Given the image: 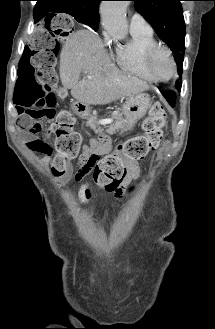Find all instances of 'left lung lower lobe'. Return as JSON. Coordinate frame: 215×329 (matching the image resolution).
<instances>
[{"mask_svg":"<svg viewBox=\"0 0 215 329\" xmlns=\"http://www.w3.org/2000/svg\"><path fill=\"white\" fill-rule=\"evenodd\" d=\"M163 96L166 98V100L168 101V103L174 107L175 104V98H176V94L174 91H165L162 92Z\"/></svg>","mask_w":215,"mask_h":329,"instance_id":"0a47b994","label":"left lung lower lobe"}]
</instances>
